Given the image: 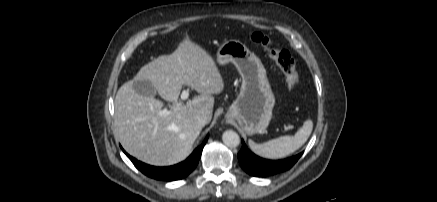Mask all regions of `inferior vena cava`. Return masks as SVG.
Wrapping results in <instances>:
<instances>
[{"label":"inferior vena cava","mask_w":437,"mask_h":202,"mask_svg":"<svg viewBox=\"0 0 437 202\" xmlns=\"http://www.w3.org/2000/svg\"><path fill=\"white\" fill-rule=\"evenodd\" d=\"M197 123L202 127L205 126L206 124H208L209 119H208L207 115L205 113L199 114L197 116Z\"/></svg>","instance_id":"602c4592"}]
</instances>
